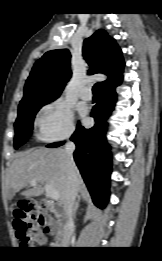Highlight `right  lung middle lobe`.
<instances>
[{"label":"right lung middle lobe","instance_id":"right-lung-middle-lobe-1","mask_svg":"<svg viewBox=\"0 0 162 261\" xmlns=\"http://www.w3.org/2000/svg\"><path fill=\"white\" fill-rule=\"evenodd\" d=\"M56 96H36L22 100L19 104L18 117L14 124L15 138L14 147L17 149L23 145L32 131L33 120L38 110L49 102L55 100Z\"/></svg>","mask_w":162,"mask_h":261}]
</instances>
